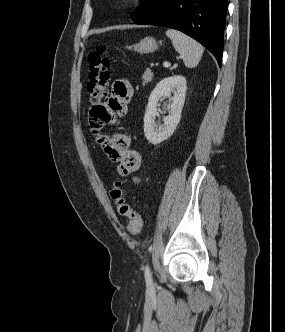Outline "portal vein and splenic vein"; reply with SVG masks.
<instances>
[{"mask_svg":"<svg viewBox=\"0 0 285 332\" xmlns=\"http://www.w3.org/2000/svg\"><path fill=\"white\" fill-rule=\"evenodd\" d=\"M163 66H164V67H170V63H169V62H164V63H163Z\"/></svg>","mask_w":285,"mask_h":332,"instance_id":"18ae733b","label":"portal vein and splenic vein"}]
</instances>
